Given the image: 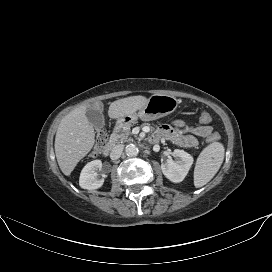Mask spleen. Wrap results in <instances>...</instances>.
<instances>
[{
  "label": "spleen",
  "instance_id": "spleen-1",
  "mask_svg": "<svg viewBox=\"0 0 272 272\" xmlns=\"http://www.w3.org/2000/svg\"><path fill=\"white\" fill-rule=\"evenodd\" d=\"M225 149L219 142L208 145L198 156L194 169V185L202 187L207 184L218 172Z\"/></svg>",
  "mask_w": 272,
  "mask_h": 272
}]
</instances>
